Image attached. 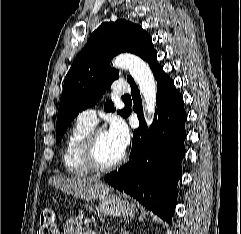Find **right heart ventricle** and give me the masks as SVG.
Returning <instances> with one entry per match:
<instances>
[{"mask_svg":"<svg viewBox=\"0 0 241 234\" xmlns=\"http://www.w3.org/2000/svg\"><path fill=\"white\" fill-rule=\"evenodd\" d=\"M93 127L77 120L66 137L62 159L66 171L73 176H87L92 172L83 159V146Z\"/></svg>","mask_w":241,"mask_h":234,"instance_id":"right-heart-ventricle-1","label":"right heart ventricle"}]
</instances>
